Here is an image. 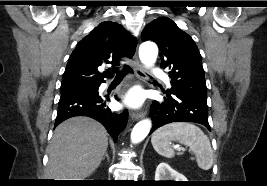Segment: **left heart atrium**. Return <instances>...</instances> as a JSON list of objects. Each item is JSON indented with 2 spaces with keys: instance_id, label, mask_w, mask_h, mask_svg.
Masks as SVG:
<instances>
[{
  "instance_id": "obj_1",
  "label": "left heart atrium",
  "mask_w": 267,
  "mask_h": 186,
  "mask_svg": "<svg viewBox=\"0 0 267 186\" xmlns=\"http://www.w3.org/2000/svg\"><path fill=\"white\" fill-rule=\"evenodd\" d=\"M124 102L129 107H139L143 102V94L139 90L133 89L126 94Z\"/></svg>"
}]
</instances>
